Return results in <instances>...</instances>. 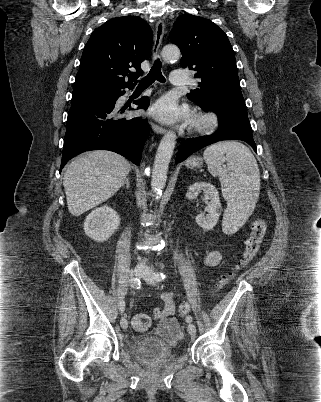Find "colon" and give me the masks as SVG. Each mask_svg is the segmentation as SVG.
Masks as SVG:
<instances>
[{"mask_svg": "<svg viewBox=\"0 0 321 402\" xmlns=\"http://www.w3.org/2000/svg\"><path fill=\"white\" fill-rule=\"evenodd\" d=\"M267 225L265 221L259 220L255 223L250 238L246 242L245 250L238 264L236 265V271L243 269L249 265L258 255L262 242L266 236ZM234 276V273H229L222 277L215 286V290L223 288ZM191 310L190 303L183 301L178 308V314L180 317H185ZM133 328L137 331H146L150 327V319L145 314H136L132 318Z\"/></svg>", "mask_w": 321, "mask_h": 402, "instance_id": "5ec220e1", "label": "colon"}]
</instances>
